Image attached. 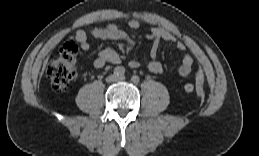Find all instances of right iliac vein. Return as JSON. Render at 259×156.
<instances>
[{
	"mask_svg": "<svg viewBox=\"0 0 259 156\" xmlns=\"http://www.w3.org/2000/svg\"><path fill=\"white\" fill-rule=\"evenodd\" d=\"M117 75H110V76H108L107 78H106V81L108 82V83H112V82H115V81H117Z\"/></svg>",
	"mask_w": 259,
	"mask_h": 156,
	"instance_id": "right-iliac-vein-1",
	"label": "right iliac vein"
}]
</instances>
